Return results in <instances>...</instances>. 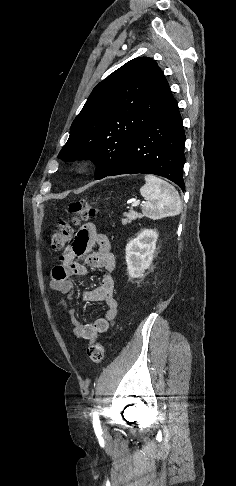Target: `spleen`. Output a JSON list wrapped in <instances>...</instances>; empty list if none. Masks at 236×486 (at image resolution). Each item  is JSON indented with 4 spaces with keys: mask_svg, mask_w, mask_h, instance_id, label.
Listing matches in <instances>:
<instances>
[{
    "mask_svg": "<svg viewBox=\"0 0 236 486\" xmlns=\"http://www.w3.org/2000/svg\"><path fill=\"white\" fill-rule=\"evenodd\" d=\"M145 182L140 188L141 195L146 199L142 207L145 216L158 219L180 214L182 203L174 186L154 175H146Z\"/></svg>",
    "mask_w": 236,
    "mask_h": 486,
    "instance_id": "1",
    "label": "spleen"
}]
</instances>
